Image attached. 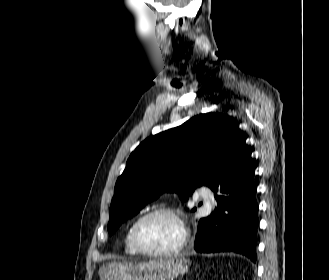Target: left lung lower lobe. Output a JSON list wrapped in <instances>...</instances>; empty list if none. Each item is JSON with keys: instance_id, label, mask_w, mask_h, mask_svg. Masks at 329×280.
<instances>
[{"instance_id": "obj_1", "label": "left lung lower lobe", "mask_w": 329, "mask_h": 280, "mask_svg": "<svg viewBox=\"0 0 329 280\" xmlns=\"http://www.w3.org/2000/svg\"><path fill=\"white\" fill-rule=\"evenodd\" d=\"M251 153L245 144L240 155L241 168L224 188L215 191L218 207L198 223L197 252H236L256 262L258 204L254 183L256 166Z\"/></svg>"}]
</instances>
